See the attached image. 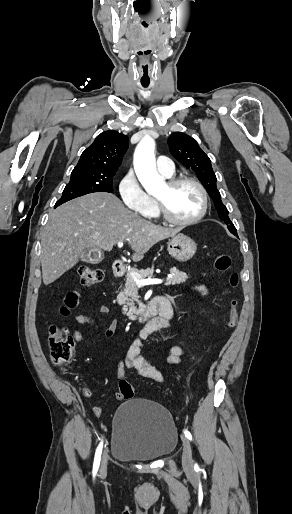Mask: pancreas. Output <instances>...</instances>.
<instances>
[{"mask_svg": "<svg viewBox=\"0 0 292 514\" xmlns=\"http://www.w3.org/2000/svg\"><path fill=\"white\" fill-rule=\"evenodd\" d=\"M131 272H137V274H140L142 280H144V278H149V276L153 274L154 270H152V268H147V270H131ZM131 272H128L126 276L125 288H123L122 292L117 296L118 304H127V306H123V314L130 316V318L131 316H139L141 312V310H137L136 306H134V302H140V300H138L137 284L134 282ZM170 274H172V278H166L165 286H170V284H172V286H175V284H181V282H186L188 278L185 272H179L176 268H171Z\"/></svg>", "mask_w": 292, "mask_h": 514, "instance_id": "pancreas-1", "label": "pancreas"}]
</instances>
